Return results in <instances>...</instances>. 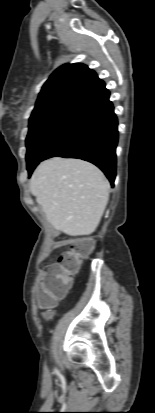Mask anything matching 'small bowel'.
<instances>
[{"label": "small bowel", "instance_id": "small-bowel-1", "mask_svg": "<svg viewBox=\"0 0 155 413\" xmlns=\"http://www.w3.org/2000/svg\"><path fill=\"white\" fill-rule=\"evenodd\" d=\"M44 294V285H40L39 289H38V299L41 301L42 300V296Z\"/></svg>", "mask_w": 155, "mask_h": 413}]
</instances>
